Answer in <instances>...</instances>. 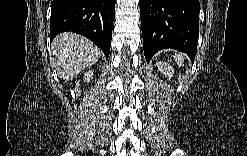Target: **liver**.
<instances>
[{
    "label": "liver",
    "mask_w": 247,
    "mask_h": 156,
    "mask_svg": "<svg viewBox=\"0 0 247 156\" xmlns=\"http://www.w3.org/2000/svg\"><path fill=\"white\" fill-rule=\"evenodd\" d=\"M51 49V66L66 80L95 64L101 56V50L91 41L71 32L59 34Z\"/></svg>",
    "instance_id": "liver-1"
}]
</instances>
